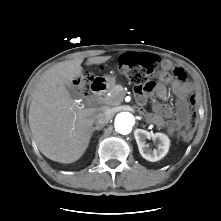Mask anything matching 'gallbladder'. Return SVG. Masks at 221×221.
<instances>
[{
	"label": "gallbladder",
	"mask_w": 221,
	"mask_h": 221,
	"mask_svg": "<svg viewBox=\"0 0 221 221\" xmlns=\"http://www.w3.org/2000/svg\"><path fill=\"white\" fill-rule=\"evenodd\" d=\"M66 89H67V91L70 93V95L71 96H75L76 95V93H75V91H74V88L72 87V86H66Z\"/></svg>",
	"instance_id": "obj_1"
}]
</instances>
